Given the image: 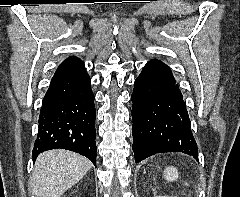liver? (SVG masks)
<instances>
[{
	"instance_id": "liver-1",
	"label": "liver",
	"mask_w": 240,
	"mask_h": 197,
	"mask_svg": "<svg viewBox=\"0 0 240 197\" xmlns=\"http://www.w3.org/2000/svg\"><path fill=\"white\" fill-rule=\"evenodd\" d=\"M92 167L86 157L68 150L41 153L35 162L31 180L36 197H60L79 182Z\"/></svg>"
}]
</instances>
